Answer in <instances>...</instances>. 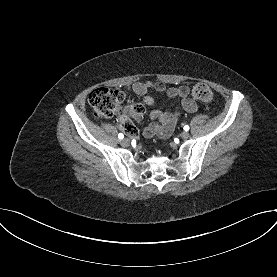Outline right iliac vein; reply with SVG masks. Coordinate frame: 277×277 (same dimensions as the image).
I'll return each instance as SVG.
<instances>
[{
    "label": "right iliac vein",
    "mask_w": 277,
    "mask_h": 277,
    "mask_svg": "<svg viewBox=\"0 0 277 277\" xmlns=\"http://www.w3.org/2000/svg\"><path fill=\"white\" fill-rule=\"evenodd\" d=\"M121 145L124 146V147H127L130 145V140L127 139V138H124L120 141Z\"/></svg>",
    "instance_id": "1"
}]
</instances>
